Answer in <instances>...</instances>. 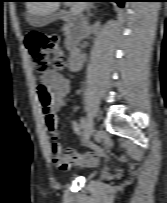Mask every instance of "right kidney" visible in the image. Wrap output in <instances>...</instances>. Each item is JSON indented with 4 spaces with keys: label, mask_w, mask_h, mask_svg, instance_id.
<instances>
[{
    "label": "right kidney",
    "mask_w": 167,
    "mask_h": 203,
    "mask_svg": "<svg viewBox=\"0 0 167 203\" xmlns=\"http://www.w3.org/2000/svg\"><path fill=\"white\" fill-rule=\"evenodd\" d=\"M95 30H99L100 28V22H96L95 25ZM86 60V55L80 53L79 49H75L69 58V69L72 72H77L82 69L83 64Z\"/></svg>",
    "instance_id": "1"
}]
</instances>
